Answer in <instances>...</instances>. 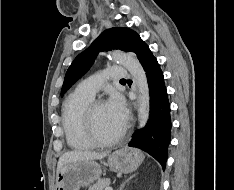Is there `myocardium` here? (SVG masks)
Masks as SVG:
<instances>
[{"label":"myocardium","instance_id":"1","mask_svg":"<svg viewBox=\"0 0 234 190\" xmlns=\"http://www.w3.org/2000/svg\"><path fill=\"white\" fill-rule=\"evenodd\" d=\"M104 103L105 102L102 99H94L88 104L84 111V123L86 133L90 140L94 143V145L99 146H109L117 143L125 135L127 129L126 126H123L117 134L109 138H103L98 135L95 129L94 113L95 110Z\"/></svg>","mask_w":234,"mask_h":190}]
</instances>
